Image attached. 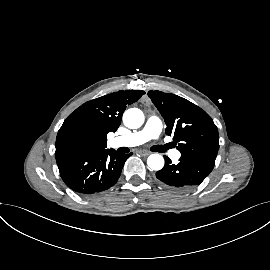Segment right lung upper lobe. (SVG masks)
<instances>
[{
    "instance_id": "1",
    "label": "right lung upper lobe",
    "mask_w": 270,
    "mask_h": 270,
    "mask_svg": "<svg viewBox=\"0 0 270 270\" xmlns=\"http://www.w3.org/2000/svg\"><path fill=\"white\" fill-rule=\"evenodd\" d=\"M143 94L142 90H120L81 105L59 129L55 156L106 149L107 134L117 131L126 106L136 102Z\"/></svg>"
}]
</instances>
